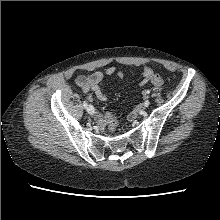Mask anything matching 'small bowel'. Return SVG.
Here are the masks:
<instances>
[{
    "instance_id": "c3829d8e",
    "label": "small bowel",
    "mask_w": 220,
    "mask_h": 220,
    "mask_svg": "<svg viewBox=\"0 0 220 220\" xmlns=\"http://www.w3.org/2000/svg\"><path fill=\"white\" fill-rule=\"evenodd\" d=\"M114 74L123 76V73L121 71H118L115 67H109L106 69L105 73L96 71L88 76L82 75V76L77 77L75 82H76V85L84 93H89L90 96L94 95L100 101H106L107 95L101 89V83L105 75L112 76ZM160 80H163V79L158 73L154 72L151 67H148V66L142 67V79L140 82L141 85H146L150 83L152 85L159 86L158 81ZM96 120L98 121L100 125H103L102 115L97 114Z\"/></svg>"
}]
</instances>
